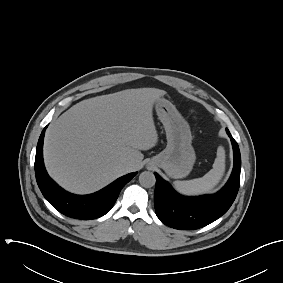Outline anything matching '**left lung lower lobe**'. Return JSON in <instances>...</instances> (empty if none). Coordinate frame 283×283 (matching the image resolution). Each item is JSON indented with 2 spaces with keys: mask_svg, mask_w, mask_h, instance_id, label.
Wrapping results in <instances>:
<instances>
[{
  "mask_svg": "<svg viewBox=\"0 0 283 283\" xmlns=\"http://www.w3.org/2000/svg\"><path fill=\"white\" fill-rule=\"evenodd\" d=\"M226 131L233 146L234 167L227 184L216 194L184 197L155 173L154 206L165 225L180 230L198 229L217 220L234 202L240 185L241 156L237 142Z\"/></svg>",
  "mask_w": 283,
  "mask_h": 283,
  "instance_id": "obj_1",
  "label": "left lung lower lobe"
}]
</instances>
